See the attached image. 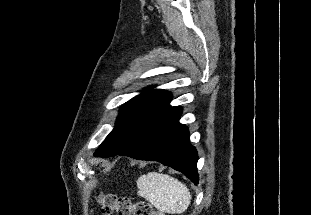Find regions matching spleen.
Instances as JSON below:
<instances>
[{
	"mask_svg": "<svg viewBox=\"0 0 311 215\" xmlns=\"http://www.w3.org/2000/svg\"><path fill=\"white\" fill-rule=\"evenodd\" d=\"M137 187L138 195L162 213L181 214L191 202L187 186L168 174L149 172L139 177Z\"/></svg>",
	"mask_w": 311,
	"mask_h": 215,
	"instance_id": "spleen-1",
	"label": "spleen"
}]
</instances>
